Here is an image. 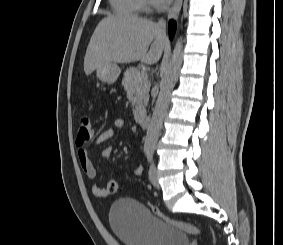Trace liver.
I'll return each mask as SVG.
<instances>
[{
	"label": "liver",
	"mask_w": 283,
	"mask_h": 245,
	"mask_svg": "<svg viewBox=\"0 0 283 245\" xmlns=\"http://www.w3.org/2000/svg\"><path fill=\"white\" fill-rule=\"evenodd\" d=\"M167 43L165 30L157 23L134 16L109 15L100 21L90 39L84 72L88 76L97 67L112 62L140 60L155 64Z\"/></svg>",
	"instance_id": "1"
}]
</instances>
